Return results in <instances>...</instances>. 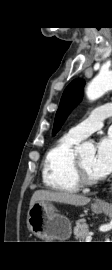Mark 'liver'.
Segmentation results:
<instances>
[{
    "label": "liver",
    "mask_w": 112,
    "mask_h": 270,
    "mask_svg": "<svg viewBox=\"0 0 112 270\" xmlns=\"http://www.w3.org/2000/svg\"><path fill=\"white\" fill-rule=\"evenodd\" d=\"M90 198L69 192H56L48 190H37L33 193L30 207L38 201H54L74 206H84L90 202Z\"/></svg>",
    "instance_id": "obj_1"
}]
</instances>
